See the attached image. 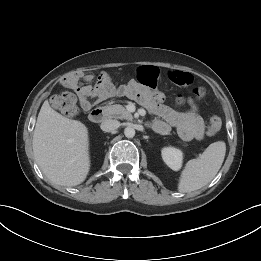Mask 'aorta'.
<instances>
[{
    "mask_svg": "<svg viewBox=\"0 0 261 261\" xmlns=\"http://www.w3.org/2000/svg\"><path fill=\"white\" fill-rule=\"evenodd\" d=\"M124 135L127 138H133L135 136V129L133 127H126L124 129Z\"/></svg>",
    "mask_w": 261,
    "mask_h": 261,
    "instance_id": "762f6f07",
    "label": "aorta"
}]
</instances>
